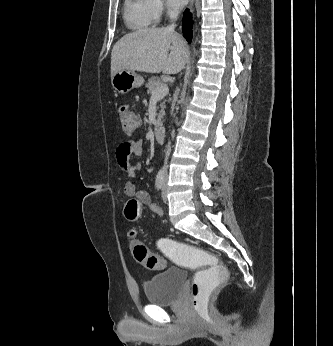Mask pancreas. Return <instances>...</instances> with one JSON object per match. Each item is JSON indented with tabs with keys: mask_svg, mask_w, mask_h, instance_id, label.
Instances as JSON below:
<instances>
[{
	"mask_svg": "<svg viewBox=\"0 0 333 346\" xmlns=\"http://www.w3.org/2000/svg\"><path fill=\"white\" fill-rule=\"evenodd\" d=\"M164 86V83L162 82V80L158 77H152L148 80V83L146 84V87L148 88V93H150L152 95V93L157 90L158 88ZM161 110L158 113V117H157V121L155 123V128L159 127L162 122L161 120L163 119V116L165 114L164 112V102H162L160 104Z\"/></svg>",
	"mask_w": 333,
	"mask_h": 346,
	"instance_id": "1",
	"label": "pancreas"
}]
</instances>
